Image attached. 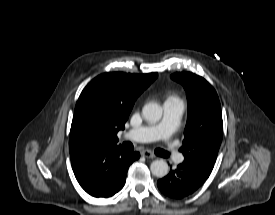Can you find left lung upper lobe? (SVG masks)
<instances>
[{
  "label": "left lung upper lobe",
  "instance_id": "obj_1",
  "mask_svg": "<svg viewBox=\"0 0 275 215\" xmlns=\"http://www.w3.org/2000/svg\"><path fill=\"white\" fill-rule=\"evenodd\" d=\"M171 78L186 90L188 117L180 151L184 163L210 175L222 141L223 121L219 98L214 88L193 73H175Z\"/></svg>",
  "mask_w": 275,
  "mask_h": 215
}]
</instances>
